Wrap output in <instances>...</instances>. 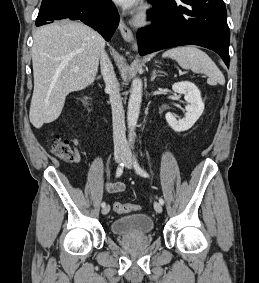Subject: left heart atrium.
I'll return each mask as SVG.
<instances>
[{"instance_id": "left-heart-atrium-1", "label": "left heart atrium", "mask_w": 259, "mask_h": 283, "mask_svg": "<svg viewBox=\"0 0 259 283\" xmlns=\"http://www.w3.org/2000/svg\"><path fill=\"white\" fill-rule=\"evenodd\" d=\"M113 1L126 9L133 8L138 3V0H113Z\"/></svg>"}]
</instances>
